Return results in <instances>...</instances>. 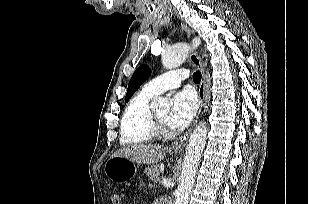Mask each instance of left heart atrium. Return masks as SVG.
<instances>
[{"label": "left heart atrium", "instance_id": "obj_1", "mask_svg": "<svg viewBox=\"0 0 309 204\" xmlns=\"http://www.w3.org/2000/svg\"><path fill=\"white\" fill-rule=\"evenodd\" d=\"M198 110V99L194 92L184 90L173 97L168 124L174 129H183L193 120Z\"/></svg>", "mask_w": 309, "mask_h": 204}]
</instances>
